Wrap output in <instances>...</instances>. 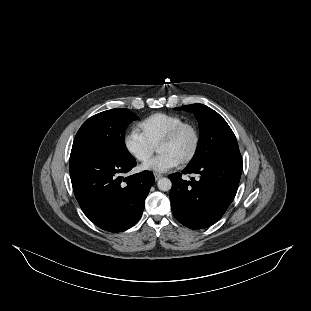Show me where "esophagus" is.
I'll list each match as a JSON object with an SVG mask.
<instances>
[{"instance_id": "obj_1", "label": "esophagus", "mask_w": 311, "mask_h": 311, "mask_svg": "<svg viewBox=\"0 0 311 311\" xmlns=\"http://www.w3.org/2000/svg\"><path fill=\"white\" fill-rule=\"evenodd\" d=\"M153 174H154V178H155L156 181H157L159 178L162 177V175L159 174V173H157V172H154Z\"/></svg>"}]
</instances>
